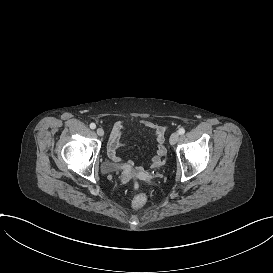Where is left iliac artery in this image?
Segmentation results:
<instances>
[{"mask_svg":"<svg viewBox=\"0 0 273 273\" xmlns=\"http://www.w3.org/2000/svg\"><path fill=\"white\" fill-rule=\"evenodd\" d=\"M178 133H179L180 135H183V134L185 133V129H184V128H180V129L178 130Z\"/></svg>","mask_w":273,"mask_h":273,"instance_id":"44dca946","label":"left iliac artery"}]
</instances>
